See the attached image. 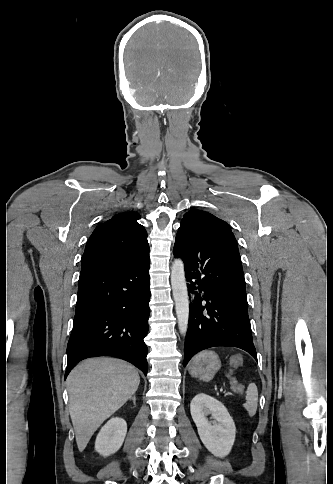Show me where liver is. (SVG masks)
<instances>
[{
  "instance_id": "liver-1",
  "label": "liver",
  "mask_w": 333,
  "mask_h": 484,
  "mask_svg": "<svg viewBox=\"0 0 333 484\" xmlns=\"http://www.w3.org/2000/svg\"><path fill=\"white\" fill-rule=\"evenodd\" d=\"M140 383L134 366L114 358H92L68 375L69 412L79 451L98 427L137 391Z\"/></svg>"
}]
</instances>
